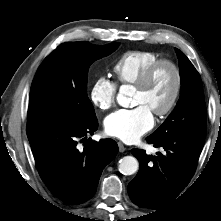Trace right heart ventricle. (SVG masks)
<instances>
[{"label":"right heart ventricle","instance_id":"obj_1","mask_svg":"<svg viewBox=\"0 0 221 221\" xmlns=\"http://www.w3.org/2000/svg\"><path fill=\"white\" fill-rule=\"evenodd\" d=\"M158 59L159 55L154 52L129 51L119 57L112 70L120 84L134 85L143 71Z\"/></svg>","mask_w":221,"mask_h":221}]
</instances>
